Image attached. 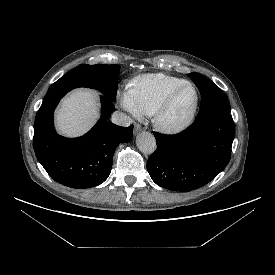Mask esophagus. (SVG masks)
Segmentation results:
<instances>
[{
	"label": "esophagus",
	"instance_id": "1",
	"mask_svg": "<svg viewBox=\"0 0 275 275\" xmlns=\"http://www.w3.org/2000/svg\"><path fill=\"white\" fill-rule=\"evenodd\" d=\"M141 130H142L141 125L140 124H135V126H134V134H137Z\"/></svg>",
	"mask_w": 275,
	"mask_h": 275
}]
</instances>
